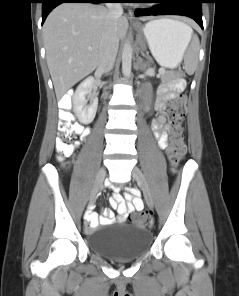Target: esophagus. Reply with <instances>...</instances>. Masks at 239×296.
I'll return each mask as SVG.
<instances>
[{"mask_svg":"<svg viewBox=\"0 0 239 296\" xmlns=\"http://www.w3.org/2000/svg\"><path fill=\"white\" fill-rule=\"evenodd\" d=\"M129 18L134 19V13L132 10H129Z\"/></svg>","mask_w":239,"mask_h":296,"instance_id":"esophagus-1","label":"esophagus"}]
</instances>
